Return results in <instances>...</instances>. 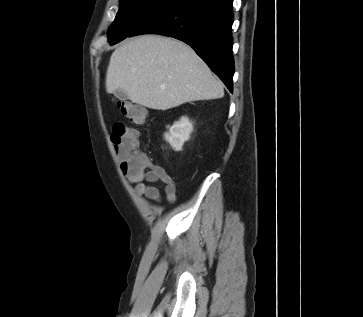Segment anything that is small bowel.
<instances>
[{
	"label": "small bowel",
	"instance_id": "obj_1",
	"mask_svg": "<svg viewBox=\"0 0 363 317\" xmlns=\"http://www.w3.org/2000/svg\"><path fill=\"white\" fill-rule=\"evenodd\" d=\"M142 156L145 158V163L142 169L133 170L130 167L122 169L127 181L134 185L136 195L145 196L149 200L160 202L161 194L159 189L156 186L149 185L148 183L162 182L165 184L167 200L170 203L175 202L176 183L174 180L162 167L152 164L144 155Z\"/></svg>",
	"mask_w": 363,
	"mask_h": 317
}]
</instances>
